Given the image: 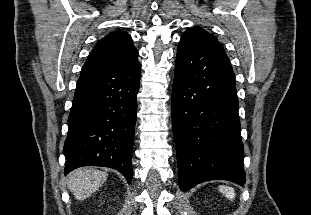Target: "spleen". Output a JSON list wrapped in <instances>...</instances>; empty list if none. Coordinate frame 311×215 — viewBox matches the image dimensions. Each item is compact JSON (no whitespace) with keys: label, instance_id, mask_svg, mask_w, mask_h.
I'll return each mask as SVG.
<instances>
[{"label":"spleen","instance_id":"spleen-1","mask_svg":"<svg viewBox=\"0 0 311 215\" xmlns=\"http://www.w3.org/2000/svg\"><path fill=\"white\" fill-rule=\"evenodd\" d=\"M219 191L224 194L230 200L235 198L234 188L229 186H220Z\"/></svg>","mask_w":311,"mask_h":215}]
</instances>
